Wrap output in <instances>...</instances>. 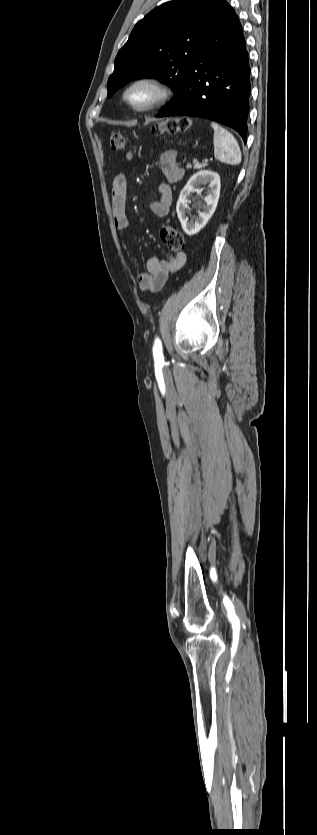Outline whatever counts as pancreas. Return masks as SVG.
I'll use <instances>...</instances> for the list:
<instances>
[{"instance_id": "cf45deb5", "label": "pancreas", "mask_w": 317, "mask_h": 835, "mask_svg": "<svg viewBox=\"0 0 317 835\" xmlns=\"http://www.w3.org/2000/svg\"><path fill=\"white\" fill-rule=\"evenodd\" d=\"M205 166H207V163H198V162H197V160H194V161H193V168H195V169H202V168H204ZM186 168H187V169H191V168H192V165H191V164H188V165L186 166Z\"/></svg>"}]
</instances>
